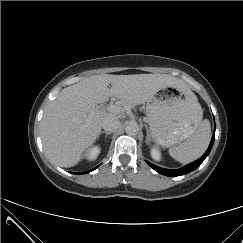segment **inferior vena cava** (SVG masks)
Segmentation results:
<instances>
[{"mask_svg":"<svg viewBox=\"0 0 243 243\" xmlns=\"http://www.w3.org/2000/svg\"><path fill=\"white\" fill-rule=\"evenodd\" d=\"M120 125L119 119L115 116H108L102 122V127L106 132L115 131Z\"/></svg>","mask_w":243,"mask_h":243,"instance_id":"1","label":"inferior vena cava"}]
</instances>
